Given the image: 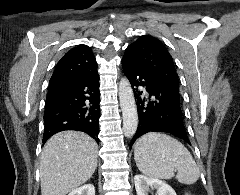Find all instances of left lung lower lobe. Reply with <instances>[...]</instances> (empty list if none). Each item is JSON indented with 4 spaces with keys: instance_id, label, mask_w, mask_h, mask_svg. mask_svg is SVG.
Masks as SVG:
<instances>
[{
    "instance_id": "0a47b994",
    "label": "left lung lower lobe",
    "mask_w": 240,
    "mask_h": 195,
    "mask_svg": "<svg viewBox=\"0 0 240 195\" xmlns=\"http://www.w3.org/2000/svg\"><path fill=\"white\" fill-rule=\"evenodd\" d=\"M122 65L134 91L139 117L130 147L137 138L148 132L170 133L190 143L183 124L179 91L166 86L127 58L123 57ZM138 86H146L149 95H142Z\"/></svg>"
}]
</instances>
